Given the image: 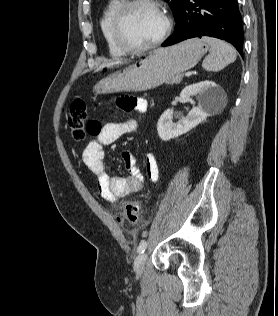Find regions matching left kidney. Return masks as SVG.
<instances>
[{
  "mask_svg": "<svg viewBox=\"0 0 278 316\" xmlns=\"http://www.w3.org/2000/svg\"><path fill=\"white\" fill-rule=\"evenodd\" d=\"M193 95H198V106L193 107L179 123L172 122L173 116L170 109L161 115L157 123V131L162 140L168 141L178 137L199 125L218 108L223 99L224 91L215 82L206 80L185 87L180 93V98L194 104L191 99Z\"/></svg>",
  "mask_w": 278,
  "mask_h": 316,
  "instance_id": "obj_1",
  "label": "left kidney"
}]
</instances>
